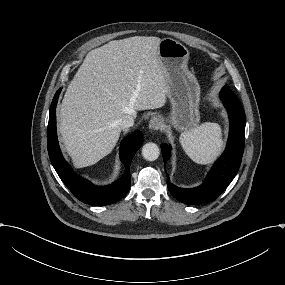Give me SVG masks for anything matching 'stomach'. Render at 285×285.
<instances>
[{
	"label": "stomach",
	"mask_w": 285,
	"mask_h": 285,
	"mask_svg": "<svg viewBox=\"0 0 285 285\" xmlns=\"http://www.w3.org/2000/svg\"><path fill=\"white\" fill-rule=\"evenodd\" d=\"M188 55L187 49L172 39L162 40L158 49V59L168 79L169 98L173 105L171 121L180 130L195 126L199 120L200 90L196 78L187 69Z\"/></svg>",
	"instance_id": "stomach-1"
}]
</instances>
